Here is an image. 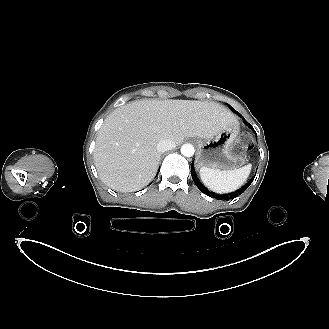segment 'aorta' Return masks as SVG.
<instances>
[{
	"label": "aorta",
	"mask_w": 329,
	"mask_h": 329,
	"mask_svg": "<svg viewBox=\"0 0 329 329\" xmlns=\"http://www.w3.org/2000/svg\"><path fill=\"white\" fill-rule=\"evenodd\" d=\"M195 149L192 144H184L181 147V154L185 157H192L194 155Z\"/></svg>",
	"instance_id": "aorta-1"
}]
</instances>
